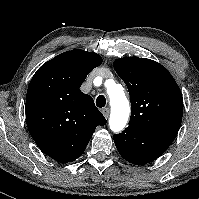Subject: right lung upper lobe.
I'll return each instance as SVG.
<instances>
[{"instance_id":"1","label":"right lung upper lobe","mask_w":199,"mask_h":199,"mask_svg":"<svg viewBox=\"0 0 199 199\" xmlns=\"http://www.w3.org/2000/svg\"><path fill=\"white\" fill-rule=\"evenodd\" d=\"M102 63L94 52L71 50L44 63L26 96V122L37 146L52 159L68 163L85 150L106 119L94 100L81 92L87 75Z\"/></svg>"}]
</instances>
